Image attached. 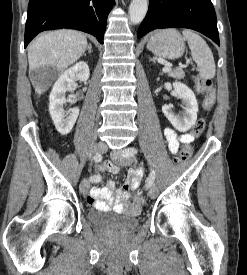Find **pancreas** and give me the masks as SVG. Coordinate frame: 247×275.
<instances>
[{"label":"pancreas","instance_id":"pancreas-1","mask_svg":"<svg viewBox=\"0 0 247 275\" xmlns=\"http://www.w3.org/2000/svg\"><path fill=\"white\" fill-rule=\"evenodd\" d=\"M168 76L175 78V79H183L185 74L181 70H173V71L168 72Z\"/></svg>","mask_w":247,"mask_h":275}]
</instances>
